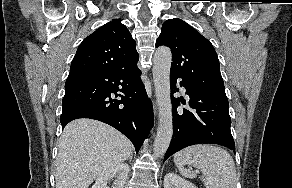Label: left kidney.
Segmentation results:
<instances>
[{
    "label": "left kidney",
    "instance_id": "obj_1",
    "mask_svg": "<svg viewBox=\"0 0 292 188\" xmlns=\"http://www.w3.org/2000/svg\"><path fill=\"white\" fill-rule=\"evenodd\" d=\"M164 188H197V187L175 173H167L164 177Z\"/></svg>",
    "mask_w": 292,
    "mask_h": 188
}]
</instances>
